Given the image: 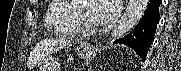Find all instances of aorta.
Listing matches in <instances>:
<instances>
[{
  "label": "aorta",
  "mask_w": 181,
  "mask_h": 71,
  "mask_svg": "<svg viewBox=\"0 0 181 71\" xmlns=\"http://www.w3.org/2000/svg\"><path fill=\"white\" fill-rule=\"evenodd\" d=\"M149 0H130L126 11L122 15L111 33V40L124 37L142 19L147 9Z\"/></svg>",
  "instance_id": "762f6f07"
}]
</instances>
